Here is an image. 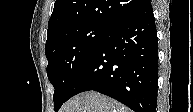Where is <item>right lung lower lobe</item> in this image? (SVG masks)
Wrapping results in <instances>:
<instances>
[{
    "mask_svg": "<svg viewBox=\"0 0 193 112\" xmlns=\"http://www.w3.org/2000/svg\"><path fill=\"white\" fill-rule=\"evenodd\" d=\"M157 87L158 41L148 0L109 27L80 68L68 99L94 90L135 112H156Z\"/></svg>",
    "mask_w": 193,
    "mask_h": 112,
    "instance_id": "right-lung-lower-lobe-1",
    "label": "right lung lower lobe"
}]
</instances>
